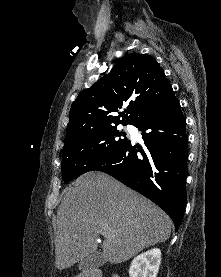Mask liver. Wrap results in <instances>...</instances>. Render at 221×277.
I'll list each match as a JSON object with an SVG mask.
<instances>
[{"instance_id": "6515ba94", "label": "liver", "mask_w": 221, "mask_h": 277, "mask_svg": "<svg viewBox=\"0 0 221 277\" xmlns=\"http://www.w3.org/2000/svg\"><path fill=\"white\" fill-rule=\"evenodd\" d=\"M169 216L147 198L102 172H88L74 183L57 211L55 264L63 270L97 250L112 264L129 260L143 249L165 242Z\"/></svg>"}]
</instances>
